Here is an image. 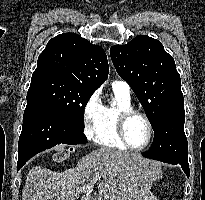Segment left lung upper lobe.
<instances>
[{
  "mask_svg": "<svg viewBox=\"0 0 205 200\" xmlns=\"http://www.w3.org/2000/svg\"><path fill=\"white\" fill-rule=\"evenodd\" d=\"M110 55L118 74L138 97L153 130L167 112L184 106L180 75L160 41L140 35L126 45L112 46Z\"/></svg>",
  "mask_w": 205,
  "mask_h": 200,
  "instance_id": "5c2ea615",
  "label": "left lung upper lobe"
}]
</instances>
